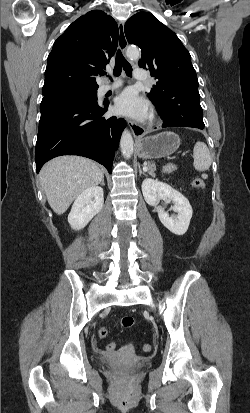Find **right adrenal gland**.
Masks as SVG:
<instances>
[{
    "mask_svg": "<svg viewBox=\"0 0 250 413\" xmlns=\"http://www.w3.org/2000/svg\"><path fill=\"white\" fill-rule=\"evenodd\" d=\"M101 185H102V186L105 185V183H104V178H103L102 181H101Z\"/></svg>",
    "mask_w": 250,
    "mask_h": 413,
    "instance_id": "2a0ac1e0",
    "label": "right adrenal gland"
}]
</instances>
